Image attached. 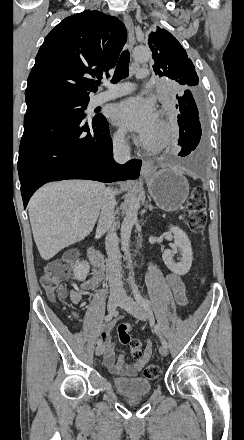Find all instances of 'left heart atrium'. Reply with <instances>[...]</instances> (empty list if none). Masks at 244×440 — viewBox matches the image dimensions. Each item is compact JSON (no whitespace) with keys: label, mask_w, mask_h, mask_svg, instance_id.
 <instances>
[{"label":"left heart atrium","mask_w":244,"mask_h":440,"mask_svg":"<svg viewBox=\"0 0 244 440\" xmlns=\"http://www.w3.org/2000/svg\"><path fill=\"white\" fill-rule=\"evenodd\" d=\"M116 124L133 131L148 135L158 122V115L153 101L132 97L117 104L113 109Z\"/></svg>","instance_id":"left-heart-atrium-1"}]
</instances>
